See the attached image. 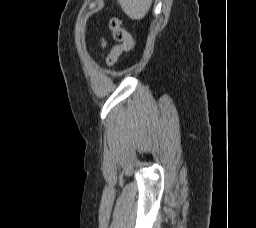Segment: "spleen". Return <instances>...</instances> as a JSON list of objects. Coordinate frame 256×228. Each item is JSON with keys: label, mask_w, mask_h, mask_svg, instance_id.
<instances>
[{"label": "spleen", "mask_w": 256, "mask_h": 228, "mask_svg": "<svg viewBox=\"0 0 256 228\" xmlns=\"http://www.w3.org/2000/svg\"><path fill=\"white\" fill-rule=\"evenodd\" d=\"M125 14L133 19L140 20L148 13L152 0H117Z\"/></svg>", "instance_id": "1"}]
</instances>
